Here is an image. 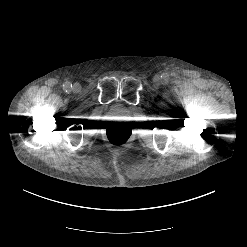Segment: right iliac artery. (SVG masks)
I'll list each match as a JSON object with an SVG mask.
<instances>
[{
	"label": "right iliac artery",
	"mask_w": 247,
	"mask_h": 247,
	"mask_svg": "<svg viewBox=\"0 0 247 247\" xmlns=\"http://www.w3.org/2000/svg\"><path fill=\"white\" fill-rule=\"evenodd\" d=\"M72 88V84L70 82H66L64 85H63V89L65 91H68Z\"/></svg>",
	"instance_id": "82829eb1"
}]
</instances>
